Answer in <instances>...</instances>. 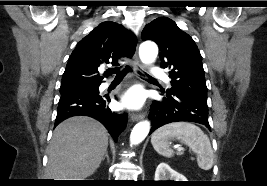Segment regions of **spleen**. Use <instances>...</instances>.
<instances>
[{
  "mask_svg": "<svg viewBox=\"0 0 267 186\" xmlns=\"http://www.w3.org/2000/svg\"><path fill=\"white\" fill-rule=\"evenodd\" d=\"M179 139L188 145L197 155V163L201 169L209 170L213 165V150L210 140L196 125L188 122H174L157 129L152 137L153 148L162 156L172 157L173 150L169 140Z\"/></svg>",
  "mask_w": 267,
  "mask_h": 186,
  "instance_id": "3e777b00",
  "label": "spleen"
}]
</instances>
